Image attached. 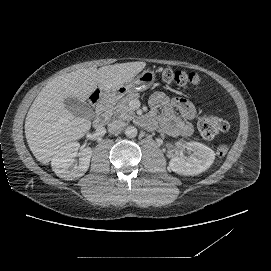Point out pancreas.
I'll use <instances>...</instances> for the list:
<instances>
[{
	"label": "pancreas",
	"instance_id": "pancreas-1",
	"mask_svg": "<svg viewBox=\"0 0 271 271\" xmlns=\"http://www.w3.org/2000/svg\"><path fill=\"white\" fill-rule=\"evenodd\" d=\"M138 97L139 95L137 93H129L126 97L120 100L111 98L106 106L111 109L117 117L122 119H131L135 116V112L129 107V103Z\"/></svg>",
	"mask_w": 271,
	"mask_h": 271
}]
</instances>
